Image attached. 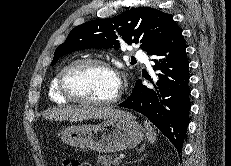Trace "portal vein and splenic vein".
<instances>
[{
    "mask_svg": "<svg viewBox=\"0 0 231 166\" xmlns=\"http://www.w3.org/2000/svg\"><path fill=\"white\" fill-rule=\"evenodd\" d=\"M123 158V156H120L118 158H115V161H120Z\"/></svg>",
    "mask_w": 231,
    "mask_h": 166,
    "instance_id": "obj_1",
    "label": "portal vein and splenic vein"
}]
</instances>
